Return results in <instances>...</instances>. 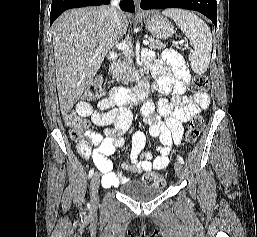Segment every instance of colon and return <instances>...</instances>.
<instances>
[{"label": "colon", "instance_id": "5ec220e1", "mask_svg": "<svg viewBox=\"0 0 257 237\" xmlns=\"http://www.w3.org/2000/svg\"><path fill=\"white\" fill-rule=\"evenodd\" d=\"M191 89L197 93H204L209 89V78L206 75H196L193 79ZM104 93L102 81L94 80L85 92V99L88 101L99 100ZM64 121L69 130V135L76 140L83 141V134L89 129L90 123L86 119L79 117L74 112L66 113ZM204 127V120L201 116H193L186 126V141L195 143ZM143 181L150 185L162 186L165 183V175L162 173H148Z\"/></svg>", "mask_w": 257, "mask_h": 237}]
</instances>
